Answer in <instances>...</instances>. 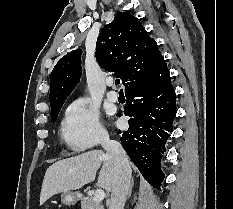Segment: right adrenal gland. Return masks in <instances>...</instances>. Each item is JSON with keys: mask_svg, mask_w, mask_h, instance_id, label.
I'll return each instance as SVG.
<instances>
[{"mask_svg": "<svg viewBox=\"0 0 233 209\" xmlns=\"http://www.w3.org/2000/svg\"><path fill=\"white\" fill-rule=\"evenodd\" d=\"M132 186H133V182H132L131 187H130V190H129L128 198L131 196V193H132Z\"/></svg>", "mask_w": 233, "mask_h": 209, "instance_id": "2a0ac1e0", "label": "right adrenal gland"}]
</instances>
